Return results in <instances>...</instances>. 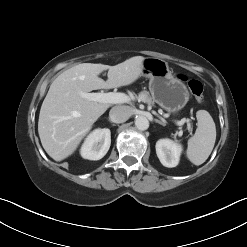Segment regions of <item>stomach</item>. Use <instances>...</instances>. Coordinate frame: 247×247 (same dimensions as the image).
Wrapping results in <instances>:
<instances>
[{
    "label": "stomach",
    "instance_id": "1",
    "mask_svg": "<svg viewBox=\"0 0 247 247\" xmlns=\"http://www.w3.org/2000/svg\"><path fill=\"white\" fill-rule=\"evenodd\" d=\"M142 75L149 79L152 99L169 113L176 114L189 100L187 87L176 78L168 63L160 58H145Z\"/></svg>",
    "mask_w": 247,
    "mask_h": 247
}]
</instances>
